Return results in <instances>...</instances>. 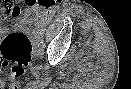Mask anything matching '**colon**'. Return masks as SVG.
Listing matches in <instances>:
<instances>
[{"mask_svg":"<svg viewBox=\"0 0 131 89\" xmlns=\"http://www.w3.org/2000/svg\"><path fill=\"white\" fill-rule=\"evenodd\" d=\"M21 13V6L7 0H0V19L15 17ZM32 44L29 38L21 33H11L0 41V69L9 66L7 80H0V87L7 85L16 88L26 72V67L32 58Z\"/></svg>","mask_w":131,"mask_h":89,"instance_id":"1","label":"colon"}]
</instances>
